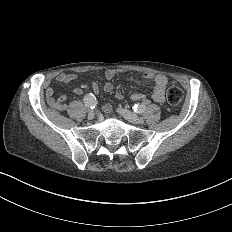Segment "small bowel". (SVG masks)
Wrapping results in <instances>:
<instances>
[{"mask_svg":"<svg viewBox=\"0 0 232 232\" xmlns=\"http://www.w3.org/2000/svg\"><path fill=\"white\" fill-rule=\"evenodd\" d=\"M120 75H134L137 76L141 79L142 82L147 81L150 79L153 82V87L151 89V98L155 102H164L165 101V95H164V88L168 84V78L161 73H154L151 75H146L145 72L140 71V70H124V69H107L103 71V78L108 82L112 80L116 76ZM77 79V74L76 73H59L56 75V81L61 83V84H66L69 83L73 80ZM92 86L93 90L96 94L100 92V87L98 85V82L93 80L92 81ZM71 91L73 93L79 94L81 92V88L75 87L71 88ZM47 94L51 95L54 93V88L53 87H48L46 90ZM117 98L122 99L124 97L123 92H118L116 94ZM144 94L140 91H135L131 93V98L133 100H139L142 99ZM103 109L107 112H111L113 109V105L110 102H106L103 104Z\"/></svg>","mask_w":232,"mask_h":232,"instance_id":"c3829d8e","label":"small bowel"}]
</instances>
